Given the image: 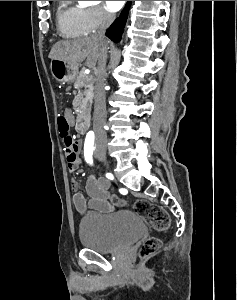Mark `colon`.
Masks as SVG:
<instances>
[{"instance_id": "obj_1", "label": "colon", "mask_w": 237, "mask_h": 300, "mask_svg": "<svg viewBox=\"0 0 237 300\" xmlns=\"http://www.w3.org/2000/svg\"><path fill=\"white\" fill-rule=\"evenodd\" d=\"M58 130L66 150L77 145L78 141L70 130V125L64 116L58 118ZM112 201L123 205V201L112 197ZM134 212L144 218L146 223L157 231H165L170 226V217L167 211L145 199H138L133 205ZM161 242L157 237L147 238L140 246L139 253L142 257H149L155 254L160 248Z\"/></svg>"}]
</instances>
